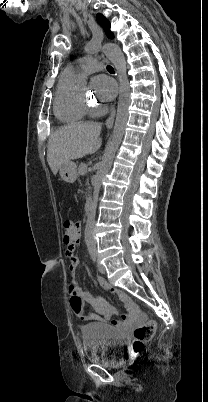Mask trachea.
<instances>
[{
	"label": "trachea",
	"instance_id": "3493384b",
	"mask_svg": "<svg viewBox=\"0 0 208 402\" xmlns=\"http://www.w3.org/2000/svg\"><path fill=\"white\" fill-rule=\"evenodd\" d=\"M107 70H108V72H114V69H113V67H111V65L107 66Z\"/></svg>",
	"mask_w": 208,
	"mask_h": 402
}]
</instances>
